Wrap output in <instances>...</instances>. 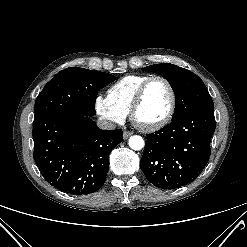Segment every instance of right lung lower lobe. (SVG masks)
Instances as JSON below:
<instances>
[{
	"label": "right lung lower lobe",
	"mask_w": 247,
	"mask_h": 247,
	"mask_svg": "<svg viewBox=\"0 0 247 247\" xmlns=\"http://www.w3.org/2000/svg\"><path fill=\"white\" fill-rule=\"evenodd\" d=\"M33 157L55 188L85 195L105 182L111 150L123 141L121 130H101L89 116L56 112L34 120Z\"/></svg>",
	"instance_id": "right-lung-lower-lobe-1"
}]
</instances>
